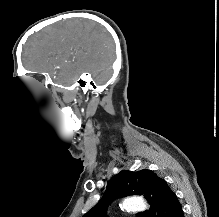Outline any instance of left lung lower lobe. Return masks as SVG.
I'll return each instance as SVG.
<instances>
[{
  "mask_svg": "<svg viewBox=\"0 0 219 217\" xmlns=\"http://www.w3.org/2000/svg\"><path fill=\"white\" fill-rule=\"evenodd\" d=\"M172 217H184V213H183L181 205L178 206V208L176 209V211Z\"/></svg>",
  "mask_w": 219,
  "mask_h": 217,
  "instance_id": "1",
  "label": "left lung lower lobe"
}]
</instances>
